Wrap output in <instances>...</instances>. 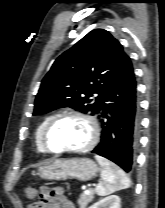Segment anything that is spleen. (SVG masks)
Returning a JSON list of instances; mask_svg holds the SVG:
<instances>
[{
  "mask_svg": "<svg viewBox=\"0 0 165 208\" xmlns=\"http://www.w3.org/2000/svg\"><path fill=\"white\" fill-rule=\"evenodd\" d=\"M95 159L102 167L101 181L95 188L99 196H106L130 187V180L122 169L102 156L95 155Z\"/></svg>",
  "mask_w": 165,
  "mask_h": 208,
  "instance_id": "spleen-1",
  "label": "spleen"
}]
</instances>
